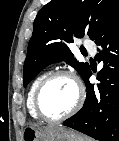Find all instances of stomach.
Listing matches in <instances>:
<instances>
[{
  "label": "stomach",
  "mask_w": 119,
  "mask_h": 141,
  "mask_svg": "<svg viewBox=\"0 0 119 141\" xmlns=\"http://www.w3.org/2000/svg\"><path fill=\"white\" fill-rule=\"evenodd\" d=\"M22 141H86L85 137L73 130L60 126L44 128L26 127Z\"/></svg>",
  "instance_id": "obj_1"
}]
</instances>
